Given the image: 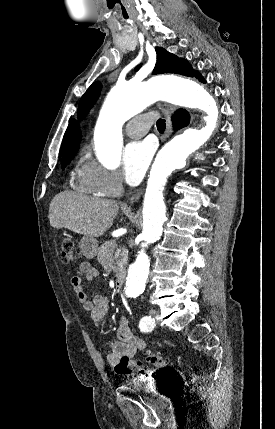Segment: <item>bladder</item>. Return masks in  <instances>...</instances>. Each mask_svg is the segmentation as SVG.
<instances>
[{"label":"bladder","mask_w":275,"mask_h":429,"mask_svg":"<svg viewBox=\"0 0 275 429\" xmlns=\"http://www.w3.org/2000/svg\"><path fill=\"white\" fill-rule=\"evenodd\" d=\"M175 377L137 378L133 386L134 393H146V398H159L166 403L168 398H177Z\"/></svg>","instance_id":"obj_1"}]
</instances>
